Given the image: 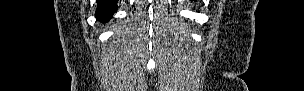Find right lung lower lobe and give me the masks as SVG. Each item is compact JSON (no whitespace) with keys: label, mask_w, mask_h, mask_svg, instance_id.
<instances>
[{"label":"right lung lower lobe","mask_w":304,"mask_h":91,"mask_svg":"<svg viewBox=\"0 0 304 91\" xmlns=\"http://www.w3.org/2000/svg\"><path fill=\"white\" fill-rule=\"evenodd\" d=\"M117 11L116 0H97V9L95 17L101 22H107L112 18V15Z\"/></svg>","instance_id":"1"}]
</instances>
